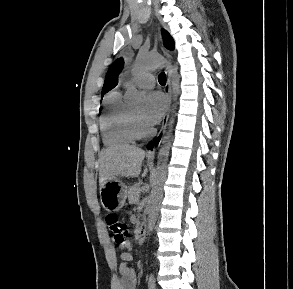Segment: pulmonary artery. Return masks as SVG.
<instances>
[{
	"label": "pulmonary artery",
	"instance_id": "obj_1",
	"mask_svg": "<svg viewBox=\"0 0 293 289\" xmlns=\"http://www.w3.org/2000/svg\"><path fill=\"white\" fill-rule=\"evenodd\" d=\"M134 82L141 88H151L155 84V77L150 72H144L137 75Z\"/></svg>",
	"mask_w": 293,
	"mask_h": 289
}]
</instances>
